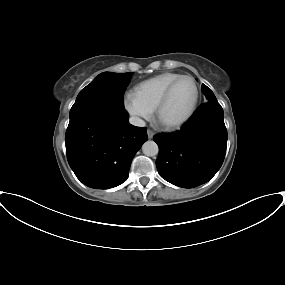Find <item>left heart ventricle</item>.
Here are the masks:
<instances>
[{
  "label": "left heart ventricle",
  "mask_w": 285,
  "mask_h": 285,
  "mask_svg": "<svg viewBox=\"0 0 285 285\" xmlns=\"http://www.w3.org/2000/svg\"><path fill=\"white\" fill-rule=\"evenodd\" d=\"M195 98V87L190 79H182L174 87L170 98L161 112L165 123L178 121L190 110Z\"/></svg>",
  "instance_id": "left-heart-ventricle-1"
}]
</instances>
